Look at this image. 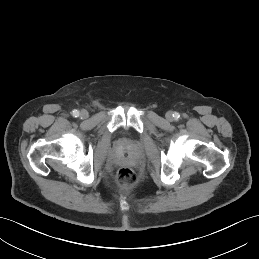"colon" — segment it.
I'll use <instances>...</instances> for the list:
<instances>
[{"label": "colon", "instance_id": "obj_1", "mask_svg": "<svg viewBox=\"0 0 259 259\" xmlns=\"http://www.w3.org/2000/svg\"><path fill=\"white\" fill-rule=\"evenodd\" d=\"M118 182L124 187H129L135 182V174L129 168H122L118 172Z\"/></svg>", "mask_w": 259, "mask_h": 259}]
</instances>
